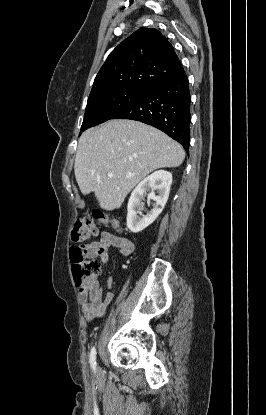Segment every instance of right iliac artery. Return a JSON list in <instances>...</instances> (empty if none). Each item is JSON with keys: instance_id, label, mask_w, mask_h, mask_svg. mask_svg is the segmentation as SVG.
Instances as JSON below:
<instances>
[{"instance_id": "82829eb1", "label": "right iliac artery", "mask_w": 266, "mask_h": 415, "mask_svg": "<svg viewBox=\"0 0 266 415\" xmlns=\"http://www.w3.org/2000/svg\"><path fill=\"white\" fill-rule=\"evenodd\" d=\"M90 365L93 371H96V349L95 347L92 348L90 353Z\"/></svg>"}]
</instances>
